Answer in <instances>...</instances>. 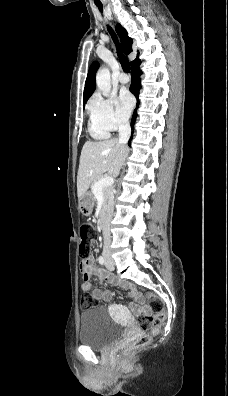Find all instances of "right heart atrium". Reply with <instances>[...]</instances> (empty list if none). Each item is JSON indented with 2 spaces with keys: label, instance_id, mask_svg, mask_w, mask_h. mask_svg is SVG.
<instances>
[{
  "label": "right heart atrium",
  "instance_id": "d8ad5b80",
  "mask_svg": "<svg viewBox=\"0 0 228 396\" xmlns=\"http://www.w3.org/2000/svg\"><path fill=\"white\" fill-rule=\"evenodd\" d=\"M89 112L91 120L107 132L119 130L128 123L127 119L116 111L113 100L100 94L92 97Z\"/></svg>",
  "mask_w": 228,
  "mask_h": 396
}]
</instances>
